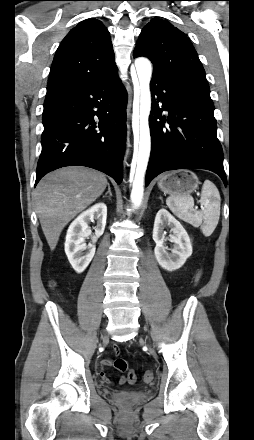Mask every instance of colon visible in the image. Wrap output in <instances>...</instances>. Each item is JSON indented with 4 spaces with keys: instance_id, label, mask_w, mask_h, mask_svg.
I'll return each mask as SVG.
<instances>
[{
    "instance_id": "colon-1",
    "label": "colon",
    "mask_w": 254,
    "mask_h": 440,
    "mask_svg": "<svg viewBox=\"0 0 254 440\" xmlns=\"http://www.w3.org/2000/svg\"><path fill=\"white\" fill-rule=\"evenodd\" d=\"M201 278V274H197V276L195 277V283H198L199 280ZM114 367L121 372H126L128 371V364L126 362V360L122 359V358H118L114 361ZM137 379V375L133 370L128 371L127 373V381L129 383H134ZM153 379V373L151 371H146L143 375V381L145 383H149L151 382ZM121 382H124V380H122Z\"/></svg>"
}]
</instances>
